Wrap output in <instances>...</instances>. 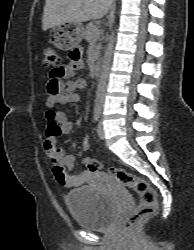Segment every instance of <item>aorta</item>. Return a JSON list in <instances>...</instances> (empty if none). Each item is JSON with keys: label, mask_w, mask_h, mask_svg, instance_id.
Instances as JSON below:
<instances>
[{"label": "aorta", "mask_w": 194, "mask_h": 250, "mask_svg": "<svg viewBox=\"0 0 194 250\" xmlns=\"http://www.w3.org/2000/svg\"><path fill=\"white\" fill-rule=\"evenodd\" d=\"M114 42H115V32L112 31L111 36L108 39L107 47H106V50L104 52V56L102 59V65L100 69V75H99L97 90H96V98L94 102L95 113H101V110L103 107L108 73H109L113 48H114Z\"/></svg>", "instance_id": "aorta-1"}]
</instances>
